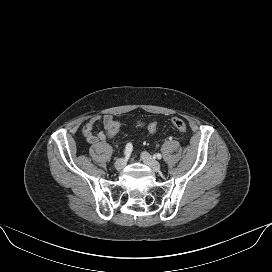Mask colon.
<instances>
[{
	"label": "colon",
	"mask_w": 272,
	"mask_h": 272,
	"mask_svg": "<svg viewBox=\"0 0 272 272\" xmlns=\"http://www.w3.org/2000/svg\"><path fill=\"white\" fill-rule=\"evenodd\" d=\"M171 125L175 130H177L181 133H185L187 130L186 123L178 117H174L171 119ZM139 126H141V127L145 126L152 134H154L157 131L158 123H157V121L152 120V121L148 122L147 124L139 123ZM119 128H120L119 122L114 121L108 129V135L109 136L115 135L118 132Z\"/></svg>",
	"instance_id": "obj_1"
}]
</instances>
